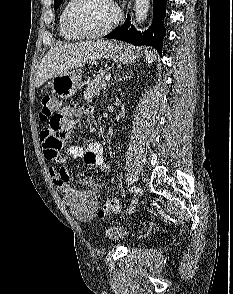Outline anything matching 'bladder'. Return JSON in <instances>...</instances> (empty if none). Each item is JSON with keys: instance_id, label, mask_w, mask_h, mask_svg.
Returning a JSON list of instances; mask_svg holds the SVG:
<instances>
[{"instance_id": "31cf9c89", "label": "bladder", "mask_w": 233, "mask_h": 294, "mask_svg": "<svg viewBox=\"0 0 233 294\" xmlns=\"http://www.w3.org/2000/svg\"><path fill=\"white\" fill-rule=\"evenodd\" d=\"M105 236L112 242L125 241L129 237V232L126 227L114 224L105 230Z\"/></svg>"}]
</instances>
